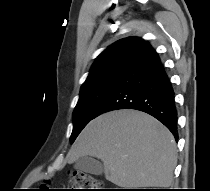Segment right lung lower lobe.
I'll return each instance as SVG.
<instances>
[{"label": "right lung lower lobe", "instance_id": "98d812e1", "mask_svg": "<svg viewBox=\"0 0 210 191\" xmlns=\"http://www.w3.org/2000/svg\"><path fill=\"white\" fill-rule=\"evenodd\" d=\"M172 84L156 51L145 42L131 57L118 81L99 105L96 117L118 109L148 113L178 139Z\"/></svg>", "mask_w": 210, "mask_h": 191}]
</instances>
